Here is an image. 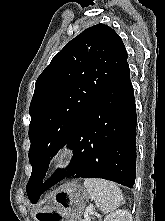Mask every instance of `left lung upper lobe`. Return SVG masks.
I'll use <instances>...</instances> for the list:
<instances>
[{"instance_id": "left-lung-upper-lobe-1", "label": "left lung upper lobe", "mask_w": 165, "mask_h": 221, "mask_svg": "<svg viewBox=\"0 0 165 221\" xmlns=\"http://www.w3.org/2000/svg\"><path fill=\"white\" fill-rule=\"evenodd\" d=\"M126 63L122 39L111 27L97 24L67 43L38 77L29 109L32 174L26 192L31 202L46 180L51 156Z\"/></svg>"}]
</instances>
